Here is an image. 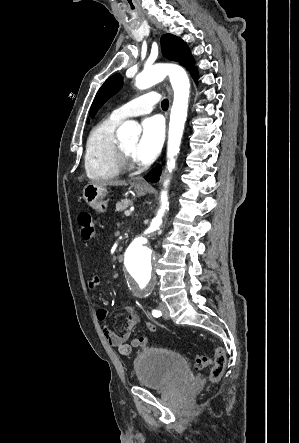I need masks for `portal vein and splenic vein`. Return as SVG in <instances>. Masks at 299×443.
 <instances>
[{
  "label": "portal vein and splenic vein",
  "instance_id": "portal-vein-and-splenic-vein-1",
  "mask_svg": "<svg viewBox=\"0 0 299 443\" xmlns=\"http://www.w3.org/2000/svg\"><path fill=\"white\" fill-rule=\"evenodd\" d=\"M124 214H125V216H130L131 215V211L127 210V211L124 212Z\"/></svg>",
  "mask_w": 299,
  "mask_h": 443
}]
</instances>
